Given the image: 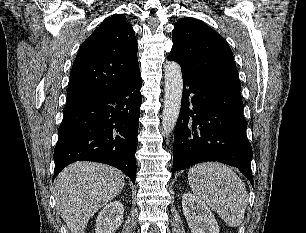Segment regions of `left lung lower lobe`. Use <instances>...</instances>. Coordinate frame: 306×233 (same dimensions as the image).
<instances>
[{"instance_id": "1", "label": "left lung lower lobe", "mask_w": 306, "mask_h": 233, "mask_svg": "<svg viewBox=\"0 0 306 233\" xmlns=\"http://www.w3.org/2000/svg\"><path fill=\"white\" fill-rule=\"evenodd\" d=\"M182 75L172 174L202 161H218L237 167L253 185L240 90Z\"/></svg>"}]
</instances>
